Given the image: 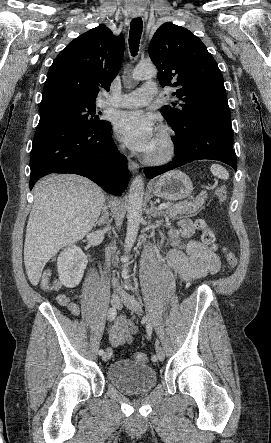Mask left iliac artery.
<instances>
[{
	"mask_svg": "<svg viewBox=\"0 0 271 443\" xmlns=\"http://www.w3.org/2000/svg\"><path fill=\"white\" fill-rule=\"evenodd\" d=\"M145 321H146L147 335H148V337H151V335H152V324H151V321H150V318H149L148 315L145 317ZM157 359H158V356L152 355V357H151L152 361H156Z\"/></svg>",
	"mask_w": 271,
	"mask_h": 443,
	"instance_id": "obj_1",
	"label": "left iliac artery"
}]
</instances>
